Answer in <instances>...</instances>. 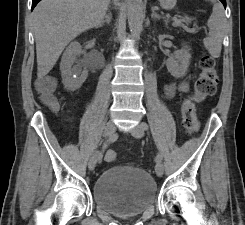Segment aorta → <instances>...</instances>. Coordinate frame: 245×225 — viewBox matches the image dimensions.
<instances>
[{"mask_svg": "<svg viewBox=\"0 0 245 225\" xmlns=\"http://www.w3.org/2000/svg\"><path fill=\"white\" fill-rule=\"evenodd\" d=\"M127 17L131 34L134 37H139L143 29L142 0H129Z\"/></svg>", "mask_w": 245, "mask_h": 225, "instance_id": "obj_1", "label": "aorta"}]
</instances>
